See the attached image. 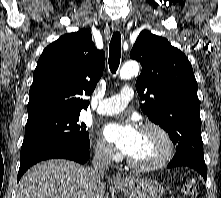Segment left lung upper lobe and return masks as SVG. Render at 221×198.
I'll use <instances>...</instances> for the list:
<instances>
[{"label": "left lung upper lobe", "mask_w": 221, "mask_h": 198, "mask_svg": "<svg viewBox=\"0 0 221 198\" xmlns=\"http://www.w3.org/2000/svg\"><path fill=\"white\" fill-rule=\"evenodd\" d=\"M141 63L136 89L142 111L167 131L176 152H203L200 102L191 63L167 39L142 31L130 52Z\"/></svg>", "instance_id": "5c2ea615"}]
</instances>
